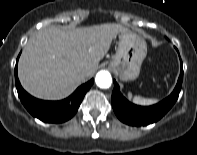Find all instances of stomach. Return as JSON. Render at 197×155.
<instances>
[{
  "instance_id": "1",
  "label": "stomach",
  "mask_w": 197,
  "mask_h": 155,
  "mask_svg": "<svg viewBox=\"0 0 197 155\" xmlns=\"http://www.w3.org/2000/svg\"><path fill=\"white\" fill-rule=\"evenodd\" d=\"M147 54V45L143 38L131 32L119 34V45L110 62V68L122 81L134 80L139 76L140 68Z\"/></svg>"
}]
</instances>
